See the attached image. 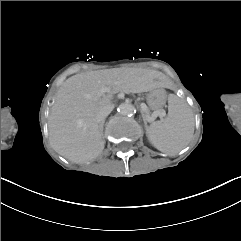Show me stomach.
Masks as SVG:
<instances>
[{
    "instance_id": "1",
    "label": "stomach",
    "mask_w": 241,
    "mask_h": 241,
    "mask_svg": "<svg viewBox=\"0 0 241 241\" xmlns=\"http://www.w3.org/2000/svg\"><path fill=\"white\" fill-rule=\"evenodd\" d=\"M147 103L153 110L161 109L166 104V94L163 89H156L147 95Z\"/></svg>"
}]
</instances>
